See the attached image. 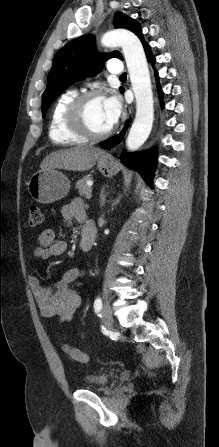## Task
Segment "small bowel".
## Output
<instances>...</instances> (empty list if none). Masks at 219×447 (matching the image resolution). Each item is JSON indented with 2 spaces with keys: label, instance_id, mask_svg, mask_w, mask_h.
<instances>
[{
  "label": "small bowel",
  "instance_id": "obj_1",
  "mask_svg": "<svg viewBox=\"0 0 219 447\" xmlns=\"http://www.w3.org/2000/svg\"><path fill=\"white\" fill-rule=\"evenodd\" d=\"M61 218L65 225L74 221L82 222L85 219L83 202L76 199L61 208ZM39 246L34 256L39 259H49L63 255L67 250V243L55 240L52 230H44L38 237ZM84 272L80 267L67 270L61 278L51 287L40 284L37 276L31 275L28 279L29 287L35 301L45 318L57 317L61 322L73 318L76 310L82 305V295L71 287V284L82 278Z\"/></svg>",
  "mask_w": 219,
  "mask_h": 447
}]
</instances>
